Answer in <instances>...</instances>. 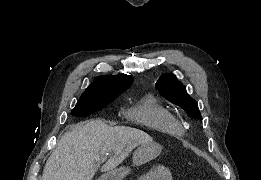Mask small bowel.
<instances>
[{"label": "small bowel", "mask_w": 261, "mask_h": 180, "mask_svg": "<svg viewBox=\"0 0 261 180\" xmlns=\"http://www.w3.org/2000/svg\"><path fill=\"white\" fill-rule=\"evenodd\" d=\"M172 176L170 171L163 165L154 167L147 175L144 176L145 180H171Z\"/></svg>", "instance_id": "obj_1"}]
</instances>
